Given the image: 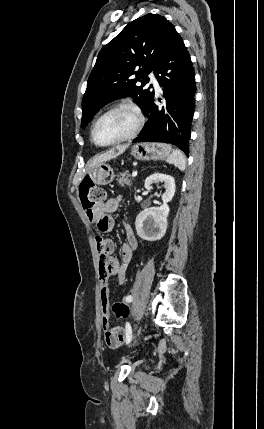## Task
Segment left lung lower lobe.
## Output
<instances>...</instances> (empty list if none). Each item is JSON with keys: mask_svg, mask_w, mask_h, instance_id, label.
<instances>
[{"mask_svg": "<svg viewBox=\"0 0 264 429\" xmlns=\"http://www.w3.org/2000/svg\"><path fill=\"white\" fill-rule=\"evenodd\" d=\"M154 73L163 90L164 106L154 104L153 91L143 110L148 122L133 142L171 143L188 154L196 84L190 55L175 28L168 35Z\"/></svg>", "mask_w": 264, "mask_h": 429, "instance_id": "1", "label": "left lung lower lobe"}]
</instances>
